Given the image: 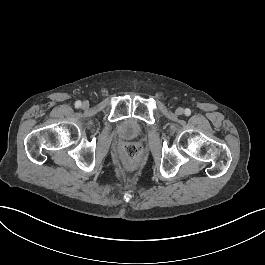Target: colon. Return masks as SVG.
I'll list each match as a JSON object with an SVG mask.
<instances>
[{"label":"colon","instance_id":"obj_1","mask_svg":"<svg viewBox=\"0 0 265 265\" xmlns=\"http://www.w3.org/2000/svg\"><path fill=\"white\" fill-rule=\"evenodd\" d=\"M140 153L139 147L135 145H128L126 147V154L130 157H135Z\"/></svg>","mask_w":265,"mask_h":265}]
</instances>
